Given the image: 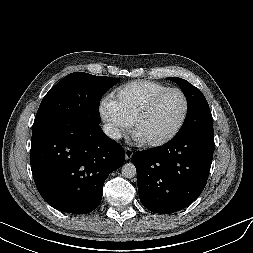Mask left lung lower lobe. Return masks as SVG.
I'll return each instance as SVG.
<instances>
[{"instance_id": "obj_1", "label": "left lung lower lobe", "mask_w": 253, "mask_h": 253, "mask_svg": "<svg viewBox=\"0 0 253 253\" xmlns=\"http://www.w3.org/2000/svg\"><path fill=\"white\" fill-rule=\"evenodd\" d=\"M213 128L177 134L167 144L132 156L138 173L141 203L168 214L192 203L203 191L214 152Z\"/></svg>"}]
</instances>
